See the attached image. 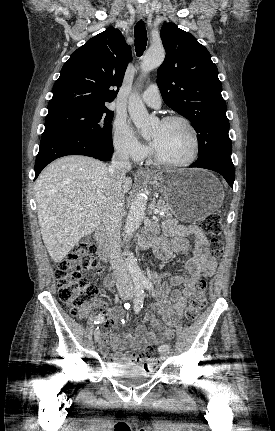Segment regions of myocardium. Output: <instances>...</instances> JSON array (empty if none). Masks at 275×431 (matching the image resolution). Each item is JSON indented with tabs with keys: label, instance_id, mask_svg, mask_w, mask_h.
<instances>
[{
	"label": "myocardium",
	"instance_id": "f54148a6",
	"mask_svg": "<svg viewBox=\"0 0 275 431\" xmlns=\"http://www.w3.org/2000/svg\"><path fill=\"white\" fill-rule=\"evenodd\" d=\"M172 122H181L183 123L187 129L189 130V132L191 133L192 139H193V151L191 156L183 161V162H169L164 160L163 158H161L158 153L156 152V150L154 149V147L151 148V158L153 160V162L161 167L164 168H170V169H177V168H183V167H187L190 166L191 164H193L198 156H199V152H200V139H199V135L195 129V127L193 126V124L185 117L180 116V115H170L167 117H164L161 120V124H169Z\"/></svg>",
	"mask_w": 275,
	"mask_h": 431
}]
</instances>
